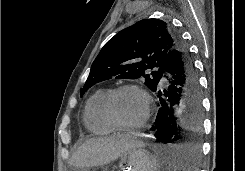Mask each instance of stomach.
<instances>
[{
    "mask_svg": "<svg viewBox=\"0 0 245 171\" xmlns=\"http://www.w3.org/2000/svg\"><path fill=\"white\" fill-rule=\"evenodd\" d=\"M159 161L145 147H135L124 154L119 162V171H159ZM70 171H89L86 168H72Z\"/></svg>",
    "mask_w": 245,
    "mask_h": 171,
    "instance_id": "1",
    "label": "stomach"
}]
</instances>
